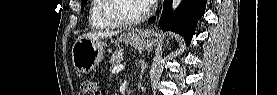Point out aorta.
Listing matches in <instances>:
<instances>
[{"label":"aorta","instance_id":"1","mask_svg":"<svg viewBox=\"0 0 277 95\" xmlns=\"http://www.w3.org/2000/svg\"><path fill=\"white\" fill-rule=\"evenodd\" d=\"M180 2L181 0H173L172 6L174 10L179 6Z\"/></svg>","mask_w":277,"mask_h":95}]
</instances>
